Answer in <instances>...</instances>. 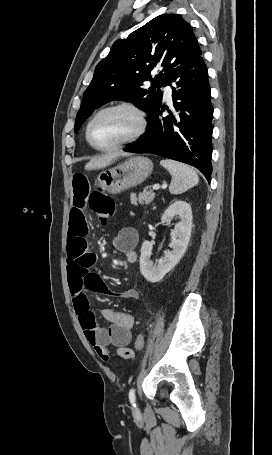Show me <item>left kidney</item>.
Masks as SVG:
<instances>
[{
	"label": "left kidney",
	"mask_w": 272,
	"mask_h": 455,
	"mask_svg": "<svg viewBox=\"0 0 272 455\" xmlns=\"http://www.w3.org/2000/svg\"><path fill=\"white\" fill-rule=\"evenodd\" d=\"M174 216L180 218V222L175 225L171 232V251L153 263L150 260L152 254V244L144 241L141 247L140 271L142 275L151 283L159 282L183 257L190 240L192 229L191 206L185 201H176L171 204L163 213L161 221L170 224Z\"/></svg>",
	"instance_id": "1"
}]
</instances>
